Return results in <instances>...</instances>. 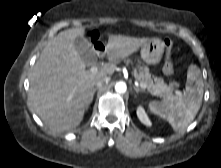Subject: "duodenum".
Here are the masks:
<instances>
[{"instance_id": "obj_1", "label": "duodenum", "mask_w": 221, "mask_h": 168, "mask_svg": "<svg viewBox=\"0 0 221 168\" xmlns=\"http://www.w3.org/2000/svg\"><path fill=\"white\" fill-rule=\"evenodd\" d=\"M95 48H96V50H97V52H98L99 54H103L104 51H105V46H104V44L101 43V42H96V43H95Z\"/></svg>"}]
</instances>
